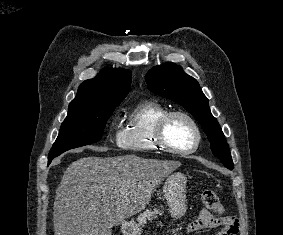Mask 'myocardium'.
<instances>
[{"label":"myocardium","instance_id":"myocardium-1","mask_svg":"<svg viewBox=\"0 0 283 235\" xmlns=\"http://www.w3.org/2000/svg\"><path fill=\"white\" fill-rule=\"evenodd\" d=\"M175 117H181L186 119L191 124V126L195 131V136H196L195 143L189 149H185V150L175 149L172 146H170L166 140L165 131L167 124L170 122L171 119ZM154 136L156 143L159 145V147L162 150L175 155H188L194 153L199 148L202 139L201 130L197 121L189 113L180 110L168 111L166 114H164L157 122L154 131Z\"/></svg>","mask_w":283,"mask_h":235}]
</instances>
